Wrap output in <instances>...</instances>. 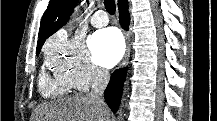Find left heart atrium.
<instances>
[{
	"label": "left heart atrium",
	"instance_id": "39dd6f15",
	"mask_svg": "<svg viewBox=\"0 0 217 121\" xmlns=\"http://www.w3.org/2000/svg\"><path fill=\"white\" fill-rule=\"evenodd\" d=\"M89 47L95 61L110 68L121 58L124 43L120 33L114 28L95 32L89 39Z\"/></svg>",
	"mask_w": 217,
	"mask_h": 121
}]
</instances>
